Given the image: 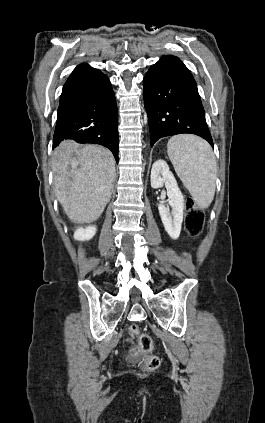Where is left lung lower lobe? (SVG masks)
<instances>
[{"label":"left lung lower lobe","mask_w":265,"mask_h":423,"mask_svg":"<svg viewBox=\"0 0 265 423\" xmlns=\"http://www.w3.org/2000/svg\"><path fill=\"white\" fill-rule=\"evenodd\" d=\"M143 96L151 146L162 137L190 133L213 147L197 84L179 58L163 56L151 66L144 77Z\"/></svg>","instance_id":"left-lung-lower-lobe-1"}]
</instances>
